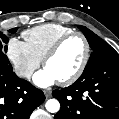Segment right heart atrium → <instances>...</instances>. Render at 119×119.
<instances>
[{"mask_svg":"<svg viewBox=\"0 0 119 119\" xmlns=\"http://www.w3.org/2000/svg\"><path fill=\"white\" fill-rule=\"evenodd\" d=\"M7 56L15 73L23 79H30L41 64V60L32 53L26 42L16 37L11 38L8 42Z\"/></svg>","mask_w":119,"mask_h":119,"instance_id":"d8ad5b80","label":"right heart atrium"}]
</instances>
